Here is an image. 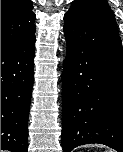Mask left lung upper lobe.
I'll return each mask as SVG.
<instances>
[{
  "label": "left lung upper lobe",
  "instance_id": "1",
  "mask_svg": "<svg viewBox=\"0 0 123 152\" xmlns=\"http://www.w3.org/2000/svg\"><path fill=\"white\" fill-rule=\"evenodd\" d=\"M78 6H85L115 24V17L113 12L105 0H74L70 9Z\"/></svg>",
  "mask_w": 123,
  "mask_h": 152
}]
</instances>
